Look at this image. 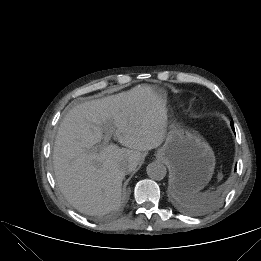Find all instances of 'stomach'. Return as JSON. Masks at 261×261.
Here are the masks:
<instances>
[{"instance_id": "1", "label": "stomach", "mask_w": 261, "mask_h": 261, "mask_svg": "<svg viewBox=\"0 0 261 261\" xmlns=\"http://www.w3.org/2000/svg\"><path fill=\"white\" fill-rule=\"evenodd\" d=\"M156 157L169 167L170 186L177 195L198 193L214 173L215 156L208 143L175 122Z\"/></svg>"}]
</instances>
